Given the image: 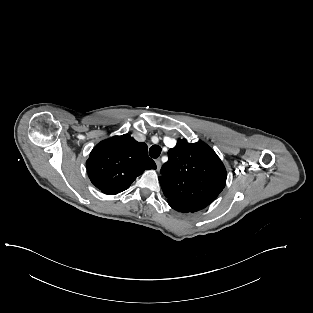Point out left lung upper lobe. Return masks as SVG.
I'll use <instances>...</instances> for the list:
<instances>
[{"label":"left lung upper lobe","instance_id":"obj_1","mask_svg":"<svg viewBox=\"0 0 313 313\" xmlns=\"http://www.w3.org/2000/svg\"><path fill=\"white\" fill-rule=\"evenodd\" d=\"M159 181L168 204L196 212L211 204L226 184V169L204 142L179 139L168 151Z\"/></svg>","mask_w":313,"mask_h":313}]
</instances>
